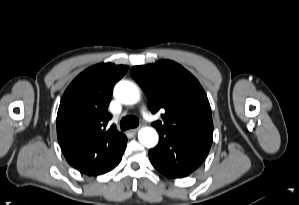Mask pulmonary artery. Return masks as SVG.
Here are the masks:
<instances>
[{
	"label": "pulmonary artery",
	"mask_w": 299,
	"mask_h": 205,
	"mask_svg": "<svg viewBox=\"0 0 299 205\" xmlns=\"http://www.w3.org/2000/svg\"><path fill=\"white\" fill-rule=\"evenodd\" d=\"M143 116L147 119V120H150L151 119V116L147 113V112H143Z\"/></svg>",
	"instance_id": "obj_1"
}]
</instances>
